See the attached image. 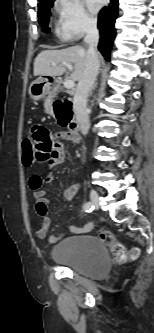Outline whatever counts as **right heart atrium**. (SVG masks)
Returning a JSON list of instances; mask_svg holds the SVG:
<instances>
[{
    "mask_svg": "<svg viewBox=\"0 0 154 333\" xmlns=\"http://www.w3.org/2000/svg\"><path fill=\"white\" fill-rule=\"evenodd\" d=\"M55 14L56 34L63 42L75 41L95 27V20L82 0H57Z\"/></svg>",
    "mask_w": 154,
    "mask_h": 333,
    "instance_id": "d8ad5b80",
    "label": "right heart atrium"
}]
</instances>
